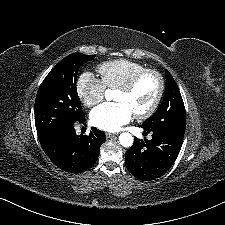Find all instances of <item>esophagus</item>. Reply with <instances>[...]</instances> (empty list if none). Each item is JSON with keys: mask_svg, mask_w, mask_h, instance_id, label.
Here are the masks:
<instances>
[{"mask_svg": "<svg viewBox=\"0 0 225 225\" xmlns=\"http://www.w3.org/2000/svg\"><path fill=\"white\" fill-rule=\"evenodd\" d=\"M117 134H115V133H109V132H107L106 133V138H111V137H115Z\"/></svg>", "mask_w": 225, "mask_h": 225, "instance_id": "34e87169", "label": "esophagus"}]
</instances>
